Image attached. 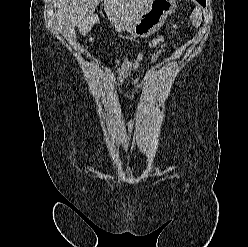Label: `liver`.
Instances as JSON below:
<instances>
[{
	"label": "liver",
	"instance_id": "6515ba94",
	"mask_svg": "<svg viewBox=\"0 0 248 247\" xmlns=\"http://www.w3.org/2000/svg\"><path fill=\"white\" fill-rule=\"evenodd\" d=\"M102 1L111 24L121 31L133 24L149 0H53L60 33L70 42L75 41V26L81 33H88L99 22L94 11Z\"/></svg>",
	"mask_w": 248,
	"mask_h": 247
}]
</instances>
